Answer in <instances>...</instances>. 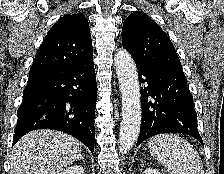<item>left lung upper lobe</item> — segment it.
<instances>
[{
	"label": "left lung upper lobe",
	"instance_id": "obj_1",
	"mask_svg": "<svg viewBox=\"0 0 224 174\" xmlns=\"http://www.w3.org/2000/svg\"><path fill=\"white\" fill-rule=\"evenodd\" d=\"M122 45L136 64L184 74L172 42L158 24L143 12L135 11L124 21Z\"/></svg>",
	"mask_w": 224,
	"mask_h": 174
}]
</instances>
